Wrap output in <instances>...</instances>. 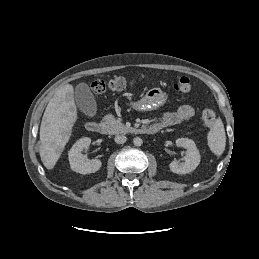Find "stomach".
I'll list each match as a JSON object with an SVG mask.
<instances>
[{
  "label": "stomach",
  "instance_id": "obj_1",
  "mask_svg": "<svg viewBox=\"0 0 259 259\" xmlns=\"http://www.w3.org/2000/svg\"><path fill=\"white\" fill-rule=\"evenodd\" d=\"M167 94L158 87L149 89L142 99L131 102L130 106L137 111H151L159 109L167 102Z\"/></svg>",
  "mask_w": 259,
  "mask_h": 259
}]
</instances>
